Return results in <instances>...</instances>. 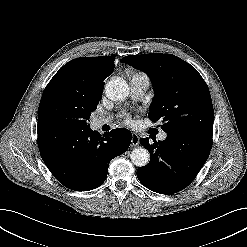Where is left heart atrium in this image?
<instances>
[{"label": "left heart atrium", "instance_id": "1", "mask_svg": "<svg viewBox=\"0 0 247 247\" xmlns=\"http://www.w3.org/2000/svg\"><path fill=\"white\" fill-rule=\"evenodd\" d=\"M126 123L130 124L131 123V120L129 118H126Z\"/></svg>", "mask_w": 247, "mask_h": 247}]
</instances>
